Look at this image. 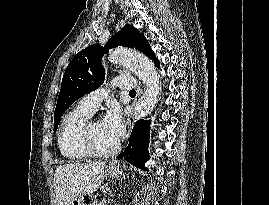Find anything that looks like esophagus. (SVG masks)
<instances>
[{"instance_id": "1", "label": "esophagus", "mask_w": 269, "mask_h": 205, "mask_svg": "<svg viewBox=\"0 0 269 205\" xmlns=\"http://www.w3.org/2000/svg\"><path fill=\"white\" fill-rule=\"evenodd\" d=\"M143 92V88H142V85L141 83L139 82L138 84V89H137V97H139ZM128 132L130 133L133 126H134V120H133V116L132 114L130 115V117L128 118Z\"/></svg>"}]
</instances>
